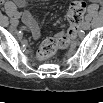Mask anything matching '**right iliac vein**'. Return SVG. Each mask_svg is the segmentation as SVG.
I'll return each instance as SVG.
<instances>
[{"label": "right iliac vein", "instance_id": "63e3f726", "mask_svg": "<svg viewBox=\"0 0 103 103\" xmlns=\"http://www.w3.org/2000/svg\"><path fill=\"white\" fill-rule=\"evenodd\" d=\"M11 24H12L13 26H17V25L19 24L18 19H17V18L12 19V20H11Z\"/></svg>", "mask_w": 103, "mask_h": 103}]
</instances>
